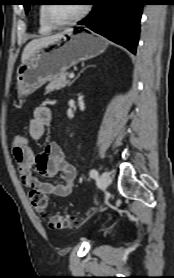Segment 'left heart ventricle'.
Returning <instances> with one entry per match:
<instances>
[{
	"instance_id": "b2bd125f",
	"label": "left heart ventricle",
	"mask_w": 174,
	"mask_h": 278,
	"mask_svg": "<svg viewBox=\"0 0 174 278\" xmlns=\"http://www.w3.org/2000/svg\"><path fill=\"white\" fill-rule=\"evenodd\" d=\"M83 5H52L50 14L56 21H66L76 16Z\"/></svg>"
}]
</instances>
